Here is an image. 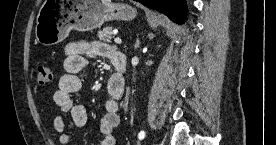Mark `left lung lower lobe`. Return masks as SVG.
I'll use <instances>...</instances> for the list:
<instances>
[{"label": "left lung lower lobe", "instance_id": "obj_1", "mask_svg": "<svg viewBox=\"0 0 276 145\" xmlns=\"http://www.w3.org/2000/svg\"><path fill=\"white\" fill-rule=\"evenodd\" d=\"M146 7L155 9L161 13L166 14L172 21L182 24L185 12L186 4L185 0H135Z\"/></svg>", "mask_w": 276, "mask_h": 145}]
</instances>
